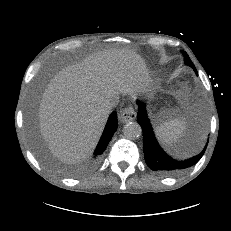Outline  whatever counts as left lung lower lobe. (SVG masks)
Instances as JSON below:
<instances>
[{
  "instance_id": "1",
  "label": "left lung lower lobe",
  "mask_w": 231,
  "mask_h": 231,
  "mask_svg": "<svg viewBox=\"0 0 231 231\" xmlns=\"http://www.w3.org/2000/svg\"><path fill=\"white\" fill-rule=\"evenodd\" d=\"M197 74V73H196ZM139 111L137 121L143 130V151L145 161L150 169L162 175H175L195 165L203 156L207 145L203 151L189 159L180 160L168 156L159 146L149 119L147 118L145 105L137 101Z\"/></svg>"
}]
</instances>
